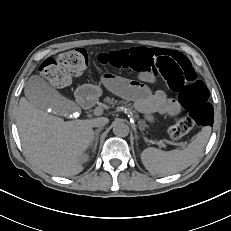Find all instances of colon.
Wrapping results in <instances>:
<instances>
[{"mask_svg":"<svg viewBox=\"0 0 231 231\" xmlns=\"http://www.w3.org/2000/svg\"><path fill=\"white\" fill-rule=\"evenodd\" d=\"M97 61L116 68L130 69L147 78H162L169 88L178 93L180 104L187 111L173 124L168 134L179 140L195 127L207 126L213 121V106L206 85L197 79L189 59L176 51L138 47L104 52ZM89 57L84 49H75L47 58L40 65L42 77L56 87L66 86L73 76L80 75L88 66Z\"/></svg>","mask_w":231,"mask_h":231,"instance_id":"colon-1","label":"colon"}]
</instances>
